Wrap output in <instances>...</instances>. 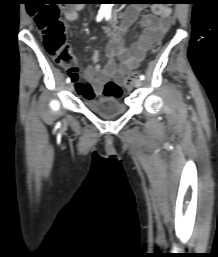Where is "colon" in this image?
<instances>
[{
  "label": "colon",
  "mask_w": 218,
  "mask_h": 257,
  "mask_svg": "<svg viewBox=\"0 0 218 257\" xmlns=\"http://www.w3.org/2000/svg\"><path fill=\"white\" fill-rule=\"evenodd\" d=\"M25 10H33L36 25L42 34L44 46L60 63L70 65L72 58L65 46L64 24L59 18L60 5H25ZM160 49V43H154L152 52L156 53ZM71 75L78 72L74 66L69 69ZM137 73L128 75L125 87L130 89L136 80ZM102 98H124V86L119 85L114 79H107L102 83Z\"/></svg>",
  "instance_id": "1"
}]
</instances>
